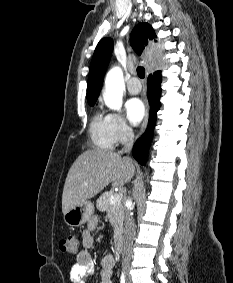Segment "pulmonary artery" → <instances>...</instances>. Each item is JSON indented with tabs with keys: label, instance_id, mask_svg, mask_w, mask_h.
<instances>
[{
	"label": "pulmonary artery",
	"instance_id": "1",
	"mask_svg": "<svg viewBox=\"0 0 233 283\" xmlns=\"http://www.w3.org/2000/svg\"><path fill=\"white\" fill-rule=\"evenodd\" d=\"M141 83L137 77H132L127 82V90L130 94H138L141 91Z\"/></svg>",
	"mask_w": 233,
	"mask_h": 283
}]
</instances>
